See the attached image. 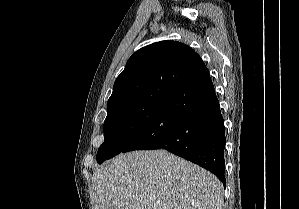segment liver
Wrapping results in <instances>:
<instances>
[{
  "instance_id": "6515ba94",
  "label": "liver",
  "mask_w": 299,
  "mask_h": 209,
  "mask_svg": "<svg viewBox=\"0 0 299 209\" xmlns=\"http://www.w3.org/2000/svg\"><path fill=\"white\" fill-rule=\"evenodd\" d=\"M94 209H222L209 171L166 150L119 154L92 177Z\"/></svg>"
}]
</instances>
